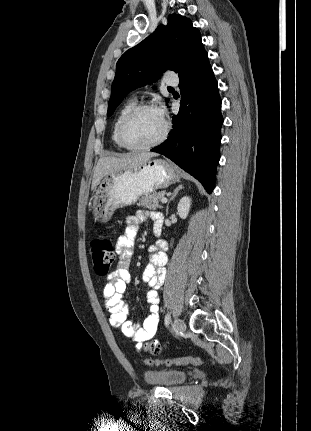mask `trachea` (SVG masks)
I'll use <instances>...</instances> for the list:
<instances>
[{
	"label": "trachea",
	"mask_w": 311,
	"mask_h": 431,
	"mask_svg": "<svg viewBox=\"0 0 311 431\" xmlns=\"http://www.w3.org/2000/svg\"><path fill=\"white\" fill-rule=\"evenodd\" d=\"M168 89H173L172 87H168Z\"/></svg>",
	"instance_id": "3493384b"
}]
</instances>
